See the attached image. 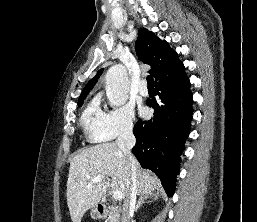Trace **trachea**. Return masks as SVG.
<instances>
[{
	"mask_svg": "<svg viewBox=\"0 0 257 222\" xmlns=\"http://www.w3.org/2000/svg\"><path fill=\"white\" fill-rule=\"evenodd\" d=\"M147 84L149 88H154V80L152 75L147 76Z\"/></svg>",
	"mask_w": 257,
	"mask_h": 222,
	"instance_id": "trachea-1",
	"label": "trachea"
}]
</instances>
